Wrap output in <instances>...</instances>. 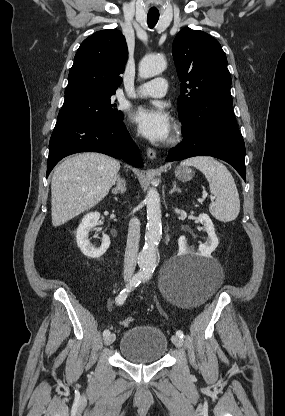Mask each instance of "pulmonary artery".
I'll use <instances>...</instances> for the list:
<instances>
[{
  "label": "pulmonary artery",
  "instance_id": "pulmonary-artery-1",
  "mask_svg": "<svg viewBox=\"0 0 285 416\" xmlns=\"http://www.w3.org/2000/svg\"><path fill=\"white\" fill-rule=\"evenodd\" d=\"M167 81L165 78L157 77L136 87L135 97H161L165 93Z\"/></svg>",
  "mask_w": 285,
  "mask_h": 416
}]
</instances>
